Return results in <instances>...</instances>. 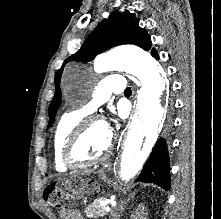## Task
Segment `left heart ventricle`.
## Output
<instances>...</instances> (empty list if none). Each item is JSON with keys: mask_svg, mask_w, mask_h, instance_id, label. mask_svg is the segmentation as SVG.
I'll list each match as a JSON object with an SVG mask.
<instances>
[{"mask_svg": "<svg viewBox=\"0 0 221 219\" xmlns=\"http://www.w3.org/2000/svg\"><path fill=\"white\" fill-rule=\"evenodd\" d=\"M109 144V131L104 124H90L83 132L75 149V156L80 161H89L100 156Z\"/></svg>", "mask_w": 221, "mask_h": 219, "instance_id": "b2bd125f", "label": "left heart ventricle"}]
</instances>
